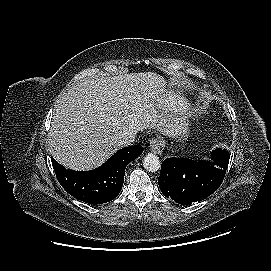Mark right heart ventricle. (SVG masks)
I'll return each instance as SVG.
<instances>
[{
    "instance_id": "obj_1",
    "label": "right heart ventricle",
    "mask_w": 271,
    "mask_h": 271,
    "mask_svg": "<svg viewBox=\"0 0 271 271\" xmlns=\"http://www.w3.org/2000/svg\"><path fill=\"white\" fill-rule=\"evenodd\" d=\"M163 107L172 113H178L185 109V102L175 95H169L163 99Z\"/></svg>"
}]
</instances>
